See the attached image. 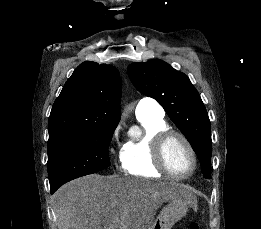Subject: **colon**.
<instances>
[{
    "label": "colon",
    "mask_w": 261,
    "mask_h": 229,
    "mask_svg": "<svg viewBox=\"0 0 261 229\" xmlns=\"http://www.w3.org/2000/svg\"><path fill=\"white\" fill-rule=\"evenodd\" d=\"M188 229H199V226L197 223H191L188 227Z\"/></svg>",
    "instance_id": "colon-1"
}]
</instances>
